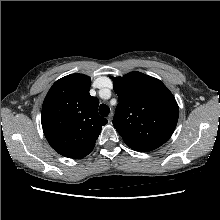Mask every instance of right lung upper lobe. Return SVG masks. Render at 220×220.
I'll use <instances>...</instances> for the list:
<instances>
[{
  "instance_id": "cb5924a9",
  "label": "right lung upper lobe",
  "mask_w": 220,
  "mask_h": 220,
  "mask_svg": "<svg viewBox=\"0 0 220 220\" xmlns=\"http://www.w3.org/2000/svg\"><path fill=\"white\" fill-rule=\"evenodd\" d=\"M90 86V77L71 74L56 81L44 99V135L62 156L77 159L88 155L108 122L98 114L99 100L90 96Z\"/></svg>"
}]
</instances>
